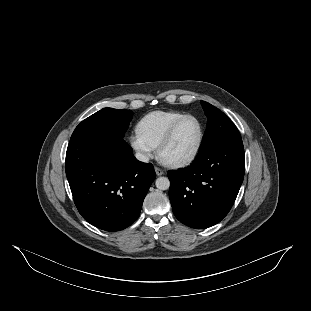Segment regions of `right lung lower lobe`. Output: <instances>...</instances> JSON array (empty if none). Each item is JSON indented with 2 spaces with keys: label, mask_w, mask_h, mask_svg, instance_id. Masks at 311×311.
Segmentation results:
<instances>
[{
  "label": "right lung lower lobe",
  "mask_w": 311,
  "mask_h": 311,
  "mask_svg": "<svg viewBox=\"0 0 311 311\" xmlns=\"http://www.w3.org/2000/svg\"><path fill=\"white\" fill-rule=\"evenodd\" d=\"M66 176L82 217L102 230L119 231L139 217L156 174L152 164L134 157L122 136L91 131L70 139Z\"/></svg>",
  "instance_id": "right-lung-lower-lobe-1"
}]
</instances>
